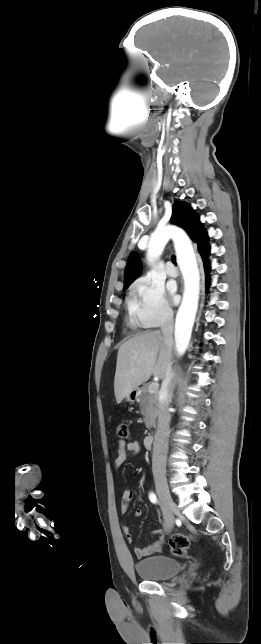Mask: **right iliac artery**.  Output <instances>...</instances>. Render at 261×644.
<instances>
[{"instance_id": "82829eb1", "label": "right iliac artery", "mask_w": 261, "mask_h": 644, "mask_svg": "<svg viewBox=\"0 0 261 644\" xmlns=\"http://www.w3.org/2000/svg\"><path fill=\"white\" fill-rule=\"evenodd\" d=\"M149 499H150V501H151L152 503H154V504H157V503H158V499H157L156 495H155L153 492H151V493L149 494Z\"/></svg>"}]
</instances>
